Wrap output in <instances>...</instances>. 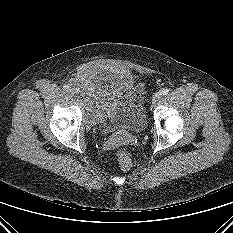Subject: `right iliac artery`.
I'll use <instances>...</instances> for the list:
<instances>
[{
    "mask_svg": "<svg viewBox=\"0 0 233 233\" xmlns=\"http://www.w3.org/2000/svg\"><path fill=\"white\" fill-rule=\"evenodd\" d=\"M63 88H64V90H69V85H67V84H65L64 86H63Z\"/></svg>",
    "mask_w": 233,
    "mask_h": 233,
    "instance_id": "right-iliac-artery-1",
    "label": "right iliac artery"
}]
</instances>
